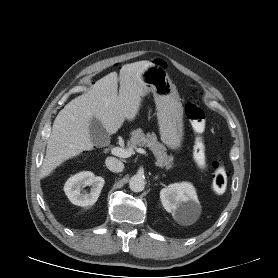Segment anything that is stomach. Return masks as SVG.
Instances as JSON below:
<instances>
[{
    "label": "stomach",
    "mask_w": 278,
    "mask_h": 278,
    "mask_svg": "<svg viewBox=\"0 0 278 278\" xmlns=\"http://www.w3.org/2000/svg\"><path fill=\"white\" fill-rule=\"evenodd\" d=\"M139 77L146 93L153 94L161 140L171 149H180L184 128L182 106L175 85L164 69L152 62L142 69Z\"/></svg>",
    "instance_id": "1"
}]
</instances>
